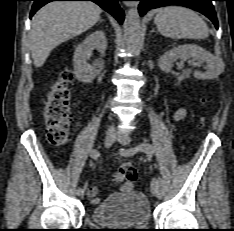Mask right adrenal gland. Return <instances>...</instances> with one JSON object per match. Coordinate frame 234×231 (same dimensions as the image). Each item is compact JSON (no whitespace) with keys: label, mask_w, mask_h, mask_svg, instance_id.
I'll return each instance as SVG.
<instances>
[{"label":"right adrenal gland","mask_w":234,"mask_h":231,"mask_svg":"<svg viewBox=\"0 0 234 231\" xmlns=\"http://www.w3.org/2000/svg\"><path fill=\"white\" fill-rule=\"evenodd\" d=\"M102 21H103L102 19L99 20V22H102Z\"/></svg>","instance_id":"obj_1"}]
</instances>
